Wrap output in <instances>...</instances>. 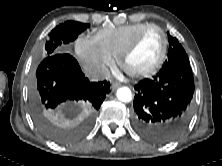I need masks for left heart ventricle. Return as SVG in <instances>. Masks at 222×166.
<instances>
[{
  "mask_svg": "<svg viewBox=\"0 0 222 166\" xmlns=\"http://www.w3.org/2000/svg\"><path fill=\"white\" fill-rule=\"evenodd\" d=\"M162 51V36L157 30L144 35L125 61V69L130 72L143 71L153 66Z\"/></svg>",
  "mask_w": 222,
  "mask_h": 166,
  "instance_id": "obj_1",
  "label": "left heart ventricle"
}]
</instances>
